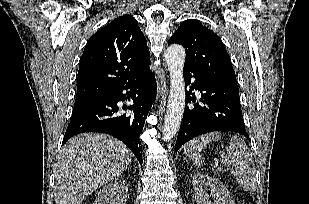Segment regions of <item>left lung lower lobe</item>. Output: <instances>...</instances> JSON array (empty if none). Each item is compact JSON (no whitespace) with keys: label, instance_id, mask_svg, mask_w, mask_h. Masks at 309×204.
<instances>
[{"label":"left lung lower lobe","instance_id":"1","mask_svg":"<svg viewBox=\"0 0 309 204\" xmlns=\"http://www.w3.org/2000/svg\"><path fill=\"white\" fill-rule=\"evenodd\" d=\"M185 82L190 86L186 103L196 101L192 90L201 92L203 105L186 106L176 141V151L196 136L212 131H232L249 139L244 127L236 82L216 78L208 73L184 68Z\"/></svg>","mask_w":309,"mask_h":204}]
</instances>
